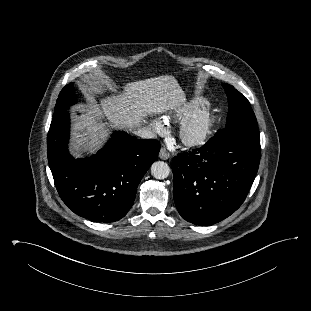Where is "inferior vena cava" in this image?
Wrapping results in <instances>:
<instances>
[{
	"label": "inferior vena cava",
	"mask_w": 311,
	"mask_h": 311,
	"mask_svg": "<svg viewBox=\"0 0 311 311\" xmlns=\"http://www.w3.org/2000/svg\"><path fill=\"white\" fill-rule=\"evenodd\" d=\"M135 135L143 138V139H151L155 137L153 131L148 127L139 128L134 132Z\"/></svg>",
	"instance_id": "inferior-vena-cava-1"
}]
</instances>
